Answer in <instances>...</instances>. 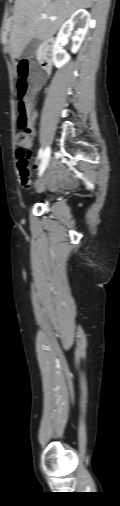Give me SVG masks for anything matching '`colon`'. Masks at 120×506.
<instances>
[{"instance_id":"5ec220e1","label":"colon","mask_w":120,"mask_h":506,"mask_svg":"<svg viewBox=\"0 0 120 506\" xmlns=\"http://www.w3.org/2000/svg\"><path fill=\"white\" fill-rule=\"evenodd\" d=\"M19 64V79L17 84L19 100H18V126L20 131L16 135L17 148V166L22 176L29 175V159L30 149L32 144V116L29 111L28 103L24 97L27 90V78L34 76L38 78L41 74L31 70L29 65V57L26 54H21L18 57Z\"/></svg>"}]
</instances>
